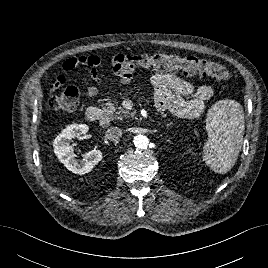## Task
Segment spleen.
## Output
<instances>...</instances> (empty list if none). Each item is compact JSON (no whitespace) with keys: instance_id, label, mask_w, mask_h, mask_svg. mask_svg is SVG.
Wrapping results in <instances>:
<instances>
[{"instance_id":"1","label":"spleen","mask_w":268,"mask_h":268,"mask_svg":"<svg viewBox=\"0 0 268 268\" xmlns=\"http://www.w3.org/2000/svg\"><path fill=\"white\" fill-rule=\"evenodd\" d=\"M244 113L240 103L220 100L208 111V139L203 160L216 173H227L235 164L244 136Z\"/></svg>"}]
</instances>
